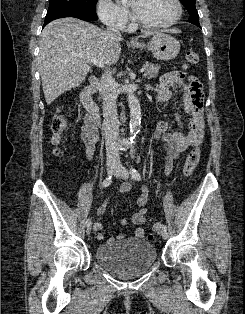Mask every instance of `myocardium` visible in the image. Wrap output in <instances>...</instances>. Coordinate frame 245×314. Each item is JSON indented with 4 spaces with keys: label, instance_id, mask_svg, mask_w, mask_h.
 I'll list each match as a JSON object with an SVG mask.
<instances>
[{
    "label": "myocardium",
    "instance_id": "1",
    "mask_svg": "<svg viewBox=\"0 0 245 314\" xmlns=\"http://www.w3.org/2000/svg\"><path fill=\"white\" fill-rule=\"evenodd\" d=\"M176 6V15L174 18L167 22H161V23H150L143 21L139 18L137 13L133 10L132 12V18L135 26H139L146 29H159V28H166L170 27L174 24H176L182 17L183 14V7L180 0H173Z\"/></svg>",
    "mask_w": 245,
    "mask_h": 314
}]
</instances>
